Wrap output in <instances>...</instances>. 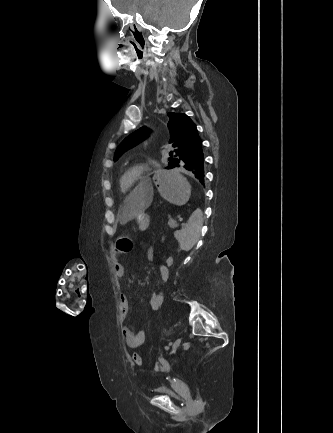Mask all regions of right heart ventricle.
<instances>
[{
    "instance_id": "right-heart-ventricle-1",
    "label": "right heart ventricle",
    "mask_w": 333,
    "mask_h": 433,
    "mask_svg": "<svg viewBox=\"0 0 333 433\" xmlns=\"http://www.w3.org/2000/svg\"><path fill=\"white\" fill-rule=\"evenodd\" d=\"M127 183H128V182H127V180H125V179L120 180V182H119V188H120V192H121L122 194H125V193L128 192V184H127Z\"/></svg>"
}]
</instances>
